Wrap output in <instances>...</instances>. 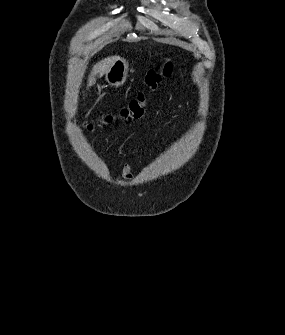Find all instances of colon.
<instances>
[{
	"instance_id": "obj_1",
	"label": "colon",
	"mask_w": 285,
	"mask_h": 335,
	"mask_svg": "<svg viewBox=\"0 0 285 335\" xmlns=\"http://www.w3.org/2000/svg\"><path fill=\"white\" fill-rule=\"evenodd\" d=\"M173 65L171 61L164 60L159 68L150 69L146 74V84L150 90H155L162 79L171 75ZM147 106L146 94L141 92L134 97L126 106H124L117 115H106L101 120V125H109L117 120L131 121L141 118ZM98 125L90 124L88 126L89 132H94Z\"/></svg>"
}]
</instances>
